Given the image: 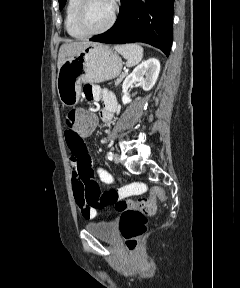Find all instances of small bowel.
Listing matches in <instances>:
<instances>
[{"instance_id": "obj_1", "label": "small bowel", "mask_w": 240, "mask_h": 288, "mask_svg": "<svg viewBox=\"0 0 240 288\" xmlns=\"http://www.w3.org/2000/svg\"><path fill=\"white\" fill-rule=\"evenodd\" d=\"M83 93L88 101L101 103L100 117L103 121L110 122L113 113L117 109L115 95L109 90L96 85H86ZM89 134L90 132L76 136L72 132L66 131L65 140L70 149L69 166L75 201L80 207L83 217L93 219L97 216V208L87 205L86 194L89 190L99 191V185L94 179L95 173H97L100 181L105 184H112L114 179L103 168H97L95 172L92 158L84 142V138L88 137ZM133 186H124L119 188L118 191L122 197H125L132 192Z\"/></svg>"}]
</instances>
